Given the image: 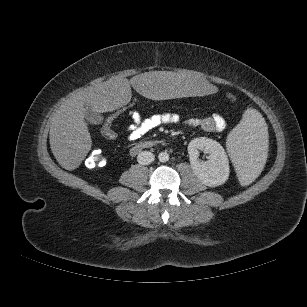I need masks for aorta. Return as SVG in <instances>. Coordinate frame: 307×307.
<instances>
[{"instance_id": "1", "label": "aorta", "mask_w": 307, "mask_h": 307, "mask_svg": "<svg viewBox=\"0 0 307 307\" xmlns=\"http://www.w3.org/2000/svg\"><path fill=\"white\" fill-rule=\"evenodd\" d=\"M158 159L160 162H167L169 160V154L166 151L160 152L158 155Z\"/></svg>"}]
</instances>
